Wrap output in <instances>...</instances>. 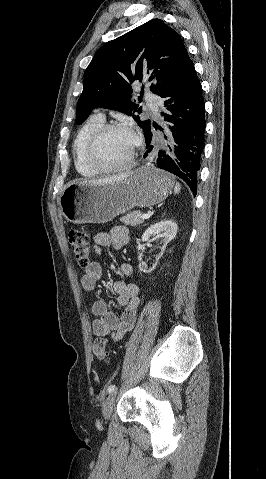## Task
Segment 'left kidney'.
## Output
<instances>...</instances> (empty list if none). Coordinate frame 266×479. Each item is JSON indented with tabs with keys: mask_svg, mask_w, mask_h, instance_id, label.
Segmentation results:
<instances>
[{
	"mask_svg": "<svg viewBox=\"0 0 266 479\" xmlns=\"http://www.w3.org/2000/svg\"><path fill=\"white\" fill-rule=\"evenodd\" d=\"M177 224L173 222L172 220H164L161 222H158L154 225H151L142 235V241L146 242L148 241L152 236L158 235L160 233L163 234L164 237V245L162 247V250L166 248V245L175 238L177 234ZM142 248H139L138 251H141ZM155 268V267H154ZM153 268V269H154ZM139 269L141 272L144 273H150L153 269L150 270H145L141 265H139Z\"/></svg>",
	"mask_w": 266,
	"mask_h": 479,
	"instance_id": "5707ae66",
	"label": "left kidney"
}]
</instances>
